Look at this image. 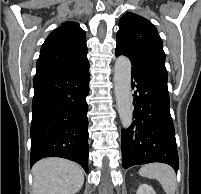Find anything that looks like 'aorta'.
<instances>
[{
  "label": "aorta",
  "mask_w": 201,
  "mask_h": 194,
  "mask_svg": "<svg viewBox=\"0 0 201 194\" xmlns=\"http://www.w3.org/2000/svg\"><path fill=\"white\" fill-rule=\"evenodd\" d=\"M114 92L122 126L128 129L132 123L131 62L126 56H119L114 67Z\"/></svg>",
  "instance_id": "obj_1"
}]
</instances>
